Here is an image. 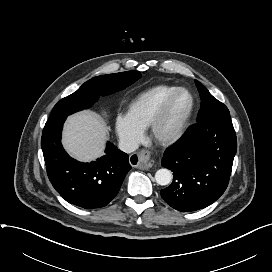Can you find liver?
<instances>
[{"mask_svg": "<svg viewBox=\"0 0 272 272\" xmlns=\"http://www.w3.org/2000/svg\"><path fill=\"white\" fill-rule=\"evenodd\" d=\"M107 126L103 119L91 111L68 117L63 131V146L74 158L89 162L103 154L107 139Z\"/></svg>", "mask_w": 272, "mask_h": 272, "instance_id": "obj_1", "label": "liver"}]
</instances>
